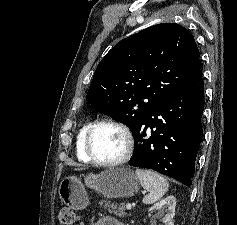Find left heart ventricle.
<instances>
[{
    "label": "left heart ventricle",
    "instance_id": "left-heart-ventricle-1",
    "mask_svg": "<svg viewBox=\"0 0 237 225\" xmlns=\"http://www.w3.org/2000/svg\"><path fill=\"white\" fill-rule=\"evenodd\" d=\"M125 145L123 134L109 125L99 126L93 133L91 141L94 155L105 161L119 158L125 150Z\"/></svg>",
    "mask_w": 237,
    "mask_h": 225
}]
</instances>
